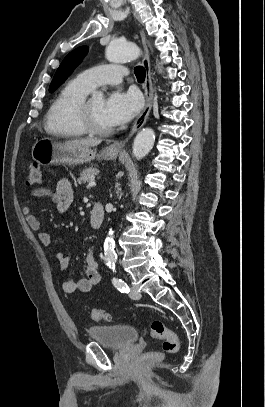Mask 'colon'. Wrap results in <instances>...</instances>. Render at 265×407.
Masks as SVG:
<instances>
[{
	"label": "colon",
	"mask_w": 265,
	"mask_h": 407,
	"mask_svg": "<svg viewBox=\"0 0 265 407\" xmlns=\"http://www.w3.org/2000/svg\"><path fill=\"white\" fill-rule=\"evenodd\" d=\"M43 173L41 166L33 162L28 171L27 184L32 186L41 183ZM91 317L97 322L111 321L113 316L102 309H93ZM153 339L161 340L162 347L159 351L145 353L142 356V363H151L162 360L166 355L174 354L179 349V340L174 331L169 329L163 322L155 320L151 323L148 330L145 332Z\"/></svg>",
	"instance_id": "obj_1"
}]
</instances>
